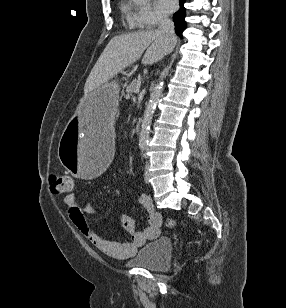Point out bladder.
I'll use <instances>...</instances> for the list:
<instances>
[{
  "instance_id": "bladder-1",
  "label": "bladder",
  "mask_w": 286,
  "mask_h": 308,
  "mask_svg": "<svg viewBox=\"0 0 286 308\" xmlns=\"http://www.w3.org/2000/svg\"><path fill=\"white\" fill-rule=\"evenodd\" d=\"M172 241L159 238L141 247L126 263L137 268L163 270L171 265Z\"/></svg>"
}]
</instances>
